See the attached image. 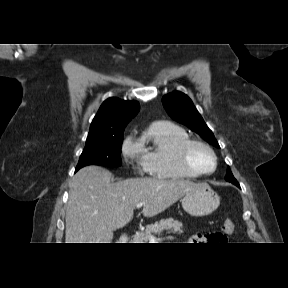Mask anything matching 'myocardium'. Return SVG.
Instances as JSON below:
<instances>
[{"label":"myocardium","mask_w":288,"mask_h":288,"mask_svg":"<svg viewBox=\"0 0 288 288\" xmlns=\"http://www.w3.org/2000/svg\"><path fill=\"white\" fill-rule=\"evenodd\" d=\"M194 147H202L206 149L213 157L214 167L211 171H203L197 168L191 161V152ZM179 161L181 166L190 173L197 176H209L212 175L218 168V157L214 149L201 140L188 139L179 148Z\"/></svg>","instance_id":"1"}]
</instances>
